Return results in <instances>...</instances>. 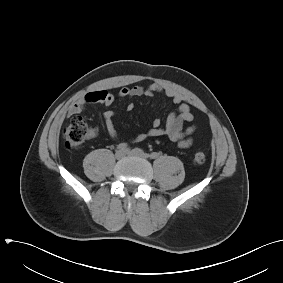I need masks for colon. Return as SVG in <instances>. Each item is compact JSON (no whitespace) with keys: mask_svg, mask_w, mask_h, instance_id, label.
Here are the masks:
<instances>
[{"mask_svg":"<svg viewBox=\"0 0 283 283\" xmlns=\"http://www.w3.org/2000/svg\"><path fill=\"white\" fill-rule=\"evenodd\" d=\"M90 134V128L86 120L80 116L74 117L63 130L65 146L69 150L78 149ZM206 156L202 151H196L193 155L195 164H203Z\"/></svg>","mask_w":283,"mask_h":283,"instance_id":"colon-1","label":"colon"}]
</instances>
